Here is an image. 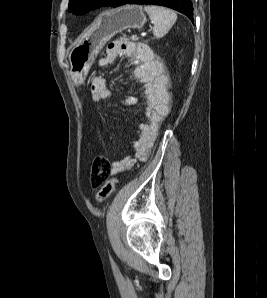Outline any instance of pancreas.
<instances>
[{"label":"pancreas","mask_w":267,"mask_h":298,"mask_svg":"<svg viewBox=\"0 0 267 298\" xmlns=\"http://www.w3.org/2000/svg\"><path fill=\"white\" fill-rule=\"evenodd\" d=\"M129 39H131V40H134V41H136V40H137V38H136V37H134V36L130 37Z\"/></svg>","instance_id":"cf45deb5"}]
</instances>
